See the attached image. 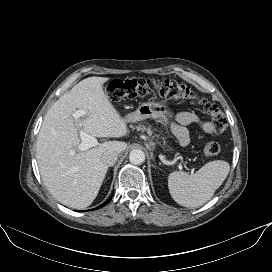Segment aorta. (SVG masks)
<instances>
[{
  "mask_svg": "<svg viewBox=\"0 0 272 272\" xmlns=\"http://www.w3.org/2000/svg\"><path fill=\"white\" fill-rule=\"evenodd\" d=\"M129 160L135 165L142 164L145 161V154L140 149H133L129 154Z\"/></svg>",
  "mask_w": 272,
  "mask_h": 272,
  "instance_id": "aorta-1",
  "label": "aorta"
}]
</instances>
